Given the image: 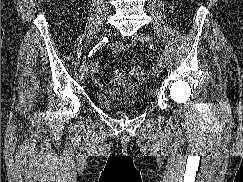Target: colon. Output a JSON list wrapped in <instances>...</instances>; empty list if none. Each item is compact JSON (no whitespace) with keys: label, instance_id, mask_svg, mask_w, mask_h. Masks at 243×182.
<instances>
[{"label":"colon","instance_id":"5ec220e1","mask_svg":"<svg viewBox=\"0 0 243 182\" xmlns=\"http://www.w3.org/2000/svg\"><path fill=\"white\" fill-rule=\"evenodd\" d=\"M130 73L132 75V77L136 78V79H141L144 77V69L140 66H135L130 70Z\"/></svg>","mask_w":243,"mask_h":182}]
</instances>
